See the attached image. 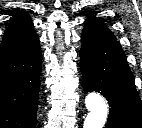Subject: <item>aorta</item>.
Segmentation results:
<instances>
[{
    "label": "aorta",
    "mask_w": 142,
    "mask_h": 128,
    "mask_svg": "<svg viewBox=\"0 0 142 128\" xmlns=\"http://www.w3.org/2000/svg\"><path fill=\"white\" fill-rule=\"evenodd\" d=\"M88 109L83 128H103L107 119L108 106L99 93H89L85 98Z\"/></svg>",
    "instance_id": "1"
}]
</instances>
